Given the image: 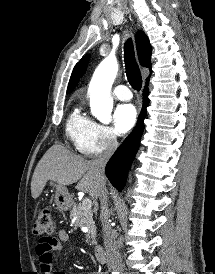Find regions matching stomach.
Masks as SVG:
<instances>
[{"mask_svg": "<svg viewBox=\"0 0 215 274\" xmlns=\"http://www.w3.org/2000/svg\"><path fill=\"white\" fill-rule=\"evenodd\" d=\"M50 185L55 188V204L60 210H67L70 205V195L68 189L63 186L56 184L55 182L51 181Z\"/></svg>", "mask_w": 215, "mask_h": 274, "instance_id": "0dacf381", "label": "stomach"}]
</instances>
